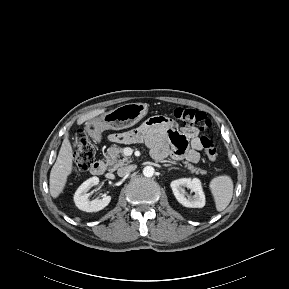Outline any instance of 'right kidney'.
Wrapping results in <instances>:
<instances>
[{
	"label": "right kidney",
	"instance_id": "right-kidney-1",
	"mask_svg": "<svg viewBox=\"0 0 289 289\" xmlns=\"http://www.w3.org/2000/svg\"><path fill=\"white\" fill-rule=\"evenodd\" d=\"M99 183L98 177H92L83 182L74 194V202L78 209L85 212H98L105 208L111 201V196L104 195L102 199L89 201L88 190Z\"/></svg>",
	"mask_w": 289,
	"mask_h": 289
}]
</instances>
